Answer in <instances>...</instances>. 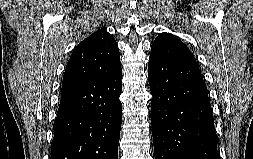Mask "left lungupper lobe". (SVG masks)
I'll list each match as a JSON object with an SVG mask.
<instances>
[{"mask_svg":"<svg viewBox=\"0 0 253 159\" xmlns=\"http://www.w3.org/2000/svg\"><path fill=\"white\" fill-rule=\"evenodd\" d=\"M150 56L196 62L186 45L169 33L159 34L151 46Z\"/></svg>","mask_w":253,"mask_h":159,"instance_id":"obj_1","label":"left lung upper lobe"}]
</instances>
